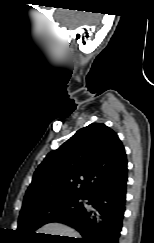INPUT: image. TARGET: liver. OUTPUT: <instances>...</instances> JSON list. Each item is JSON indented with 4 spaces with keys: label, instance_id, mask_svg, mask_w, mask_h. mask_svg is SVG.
Masks as SVG:
<instances>
[{
    "label": "liver",
    "instance_id": "1",
    "mask_svg": "<svg viewBox=\"0 0 154 243\" xmlns=\"http://www.w3.org/2000/svg\"><path fill=\"white\" fill-rule=\"evenodd\" d=\"M36 233L59 235L80 238V235L77 231L61 223H49L41 227ZM73 239V238H69Z\"/></svg>",
    "mask_w": 154,
    "mask_h": 243
}]
</instances>
